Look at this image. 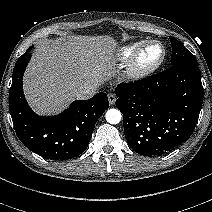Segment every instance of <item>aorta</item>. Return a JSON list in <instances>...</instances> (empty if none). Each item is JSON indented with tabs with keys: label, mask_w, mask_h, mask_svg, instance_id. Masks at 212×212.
<instances>
[{
	"label": "aorta",
	"mask_w": 212,
	"mask_h": 212,
	"mask_svg": "<svg viewBox=\"0 0 212 212\" xmlns=\"http://www.w3.org/2000/svg\"><path fill=\"white\" fill-rule=\"evenodd\" d=\"M105 118L110 124H118L122 119V114L118 109H109L106 112Z\"/></svg>",
	"instance_id": "1"
}]
</instances>
